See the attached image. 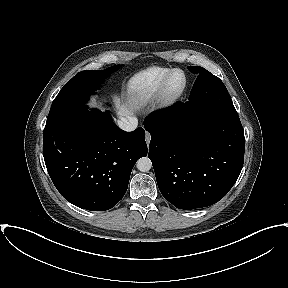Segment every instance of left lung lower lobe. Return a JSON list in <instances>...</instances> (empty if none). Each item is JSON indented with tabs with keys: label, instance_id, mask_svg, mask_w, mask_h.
I'll return each instance as SVG.
<instances>
[{
	"label": "left lung lower lobe",
	"instance_id": "1",
	"mask_svg": "<svg viewBox=\"0 0 288 288\" xmlns=\"http://www.w3.org/2000/svg\"><path fill=\"white\" fill-rule=\"evenodd\" d=\"M150 158L160 192L184 210L221 200L244 161V131L237 112L191 101L145 118Z\"/></svg>",
	"mask_w": 288,
	"mask_h": 288
}]
</instances>
